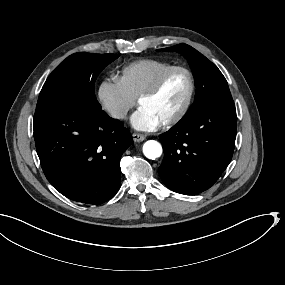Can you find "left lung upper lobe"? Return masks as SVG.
<instances>
[{"label": "left lung upper lobe", "mask_w": 285, "mask_h": 285, "mask_svg": "<svg viewBox=\"0 0 285 285\" xmlns=\"http://www.w3.org/2000/svg\"><path fill=\"white\" fill-rule=\"evenodd\" d=\"M162 50L182 53L189 61L193 70L197 90L194 103L187 114L193 113L209 104L234 103L223 74L216 65L197 50L186 44H179Z\"/></svg>", "instance_id": "1"}]
</instances>
